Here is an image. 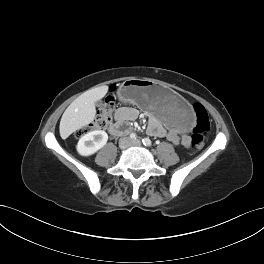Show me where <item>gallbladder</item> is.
Listing matches in <instances>:
<instances>
[{
  "mask_svg": "<svg viewBox=\"0 0 264 264\" xmlns=\"http://www.w3.org/2000/svg\"><path fill=\"white\" fill-rule=\"evenodd\" d=\"M100 104H101V101H100V100H96V101H95V105H96V106H99Z\"/></svg>",
  "mask_w": 264,
  "mask_h": 264,
  "instance_id": "bac80fb5",
  "label": "gallbladder"
}]
</instances>
